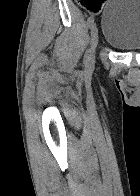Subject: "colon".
Returning <instances> with one entry per match:
<instances>
[{"instance_id":"1","label":"colon","mask_w":140,"mask_h":196,"mask_svg":"<svg viewBox=\"0 0 140 196\" xmlns=\"http://www.w3.org/2000/svg\"><path fill=\"white\" fill-rule=\"evenodd\" d=\"M80 2H83V3H84V2H86V1H85V0H80Z\"/></svg>"}]
</instances>
